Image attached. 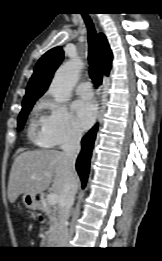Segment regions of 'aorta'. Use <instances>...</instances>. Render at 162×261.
<instances>
[{
	"label": "aorta",
	"mask_w": 162,
	"mask_h": 261,
	"mask_svg": "<svg viewBox=\"0 0 162 261\" xmlns=\"http://www.w3.org/2000/svg\"><path fill=\"white\" fill-rule=\"evenodd\" d=\"M82 67L83 63L80 60H71L57 70L50 85V92L56 102L64 103L70 99Z\"/></svg>",
	"instance_id": "aorta-1"
}]
</instances>
